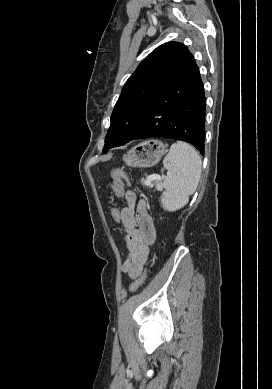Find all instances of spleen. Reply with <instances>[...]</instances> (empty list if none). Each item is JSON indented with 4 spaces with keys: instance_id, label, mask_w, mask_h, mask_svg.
Here are the masks:
<instances>
[{
    "instance_id": "obj_1",
    "label": "spleen",
    "mask_w": 272,
    "mask_h": 389,
    "mask_svg": "<svg viewBox=\"0 0 272 389\" xmlns=\"http://www.w3.org/2000/svg\"><path fill=\"white\" fill-rule=\"evenodd\" d=\"M168 170L161 196V204L168 211L182 208L189 200L199 183L202 161L197 151L187 143L176 142L163 160Z\"/></svg>"
}]
</instances>
